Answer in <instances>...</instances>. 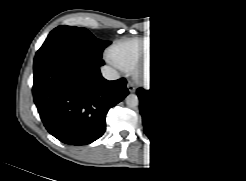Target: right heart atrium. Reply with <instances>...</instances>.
<instances>
[{"label": "right heart atrium", "mask_w": 246, "mask_h": 181, "mask_svg": "<svg viewBox=\"0 0 246 181\" xmlns=\"http://www.w3.org/2000/svg\"><path fill=\"white\" fill-rule=\"evenodd\" d=\"M108 59L109 61L115 65L116 67H120L122 65H125L119 58L118 56L115 54V53H109L108 55ZM126 66V65H125Z\"/></svg>", "instance_id": "1"}]
</instances>
